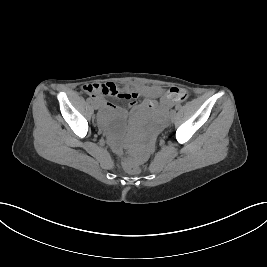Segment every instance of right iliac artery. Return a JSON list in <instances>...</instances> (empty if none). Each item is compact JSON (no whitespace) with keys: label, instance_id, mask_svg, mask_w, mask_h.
Returning a JSON list of instances; mask_svg holds the SVG:
<instances>
[{"label":"right iliac artery","instance_id":"1","mask_svg":"<svg viewBox=\"0 0 267 267\" xmlns=\"http://www.w3.org/2000/svg\"><path fill=\"white\" fill-rule=\"evenodd\" d=\"M87 102L92 103L93 100L91 98H87Z\"/></svg>","mask_w":267,"mask_h":267}]
</instances>
